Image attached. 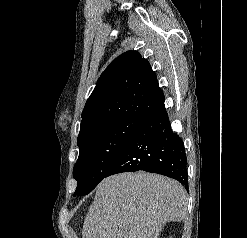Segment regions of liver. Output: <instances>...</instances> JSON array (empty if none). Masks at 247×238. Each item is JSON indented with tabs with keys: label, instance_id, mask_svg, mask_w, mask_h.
Masks as SVG:
<instances>
[{
	"label": "liver",
	"instance_id": "obj_1",
	"mask_svg": "<svg viewBox=\"0 0 247 238\" xmlns=\"http://www.w3.org/2000/svg\"><path fill=\"white\" fill-rule=\"evenodd\" d=\"M187 203L183 186L165 176L113 175L97 186L82 238H158L167 222L185 218Z\"/></svg>",
	"mask_w": 247,
	"mask_h": 238
}]
</instances>
